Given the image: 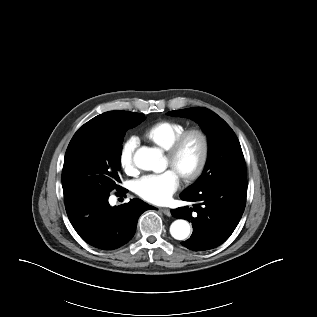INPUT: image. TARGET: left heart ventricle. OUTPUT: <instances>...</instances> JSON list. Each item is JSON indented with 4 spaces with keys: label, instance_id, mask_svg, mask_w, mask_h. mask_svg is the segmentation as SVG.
Returning a JSON list of instances; mask_svg holds the SVG:
<instances>
[{
    "label": "left heart ventricle",
    "instance_id": "obj_1",
    "mask_svg": "<svg viewBox=\"0 0 317 317\" xmlns=\"http://www.w3.org/2000/svg\"><path fill=\"white\" fill-rule=\"evenodd\" d=\"M200 152V144L197 138L193 137L186 143L179 159L174 167L175 171L179 174L182 171L190 170L196 163ZM167 162L171 163L167 157Z\"/></svg>",
    "mask_w": 317,
    "mask_h": 317
}]
</instances>
